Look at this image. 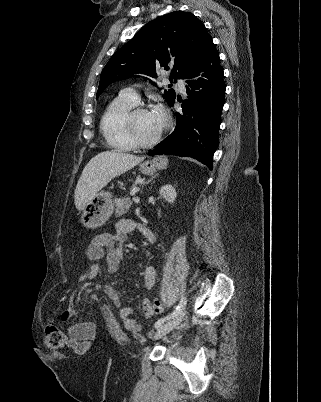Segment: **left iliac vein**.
<instances>
[{
    "label": "left iliac vein",
    "instance_id": "1",
    "mask_svg": "<svg viewBox=\"0 0 321 402\" xmlns=\"http://www.w3.org/2000/svg\"><path fill=\"white\" fill-rule=\"evenodd\" d=\"M186 310H182L176 317L167 321L164 325H162L154 334V339H160L163 336L167 335L170 331L176 328L185 318Z\"/></svg>",
    "mask_w": 321,
    "mask_h": 402
}]
</instances>
